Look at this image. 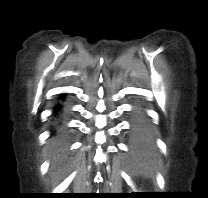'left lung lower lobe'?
<instances>
[{
	"label": "left lung lower lobe",
	"instance_id": "0a47b994",
	"mask_svg": "<svg viewBox=\"0 0 208 198\" xmlns=\"http://www.w3.org/2000/svg\"><path fill=\"white\" fill-rule=\"evenodd\" d=\"M131 150L135 155H144L152 148L150 131L140 115H137L132 124L130 134Z\"/></svg>",
	"mask_w": 208,
	"mask_h": 198
}]
</instances>
